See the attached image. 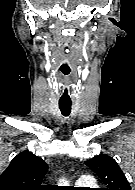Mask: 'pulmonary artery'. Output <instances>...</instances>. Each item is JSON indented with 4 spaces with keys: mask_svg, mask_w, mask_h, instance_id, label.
<instances>
[{
    "mask_svg": "<svg viewBox=\"0 0 135 190\" xmlns=\"http://www.w3.org/2000/svg\"><path fill=\"white\" fill-rule=\"evenodd\" d=\"M91 182V178L89 176H81L76 183L78 184H87Z\"/></svg>",
    "mask_w": 135,
    "mask_h": 190,
    "instance_id": "e3ab8cb5",
    "label": "pulmonary artery"
}]
</instances>
